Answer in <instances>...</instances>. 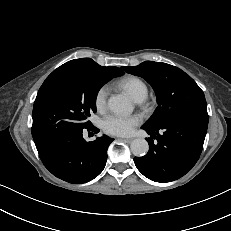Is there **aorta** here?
I'll use <instances>...</instances> for the list:
<instances>
[{
    "instance_id": "1",
    "label": "aorta",
    "mask_w": 231,
    "mask_h": 231,
    "mask_svg": "<svg viewBox=\"0 0 231 231\" xmlns=\"http://www.w3.org/2000/svg\"><path fill=\"white\" fill-rule=\"evenodd\" d=\"M108 107L115 113H131L133 106L128 98L123 95L111 96L108 100ZM134 156L141 157L148 153L149 144L145 139H134L130 145Z\"/></svg>"
}]
</instances>
